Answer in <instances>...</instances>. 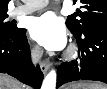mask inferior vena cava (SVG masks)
Instances as JSON below:
<instances>
[{
    "mask_svg": "<svg viewBox=\"0 0 107 89\" xmlns=\"http://www.w3.org/2000/svg\"><path fill=\"white\" fill-rule=\"evenodd\" d=\"M42 53H43L42 50L38 46L32 49L31 57H32V63L34 65H36L40 61Z\"/></svg>",
    "mask_w": 107,
    "mask_h": 89,
    "instance_id": "obj_1",
    "label": "inferior vena cava"
}]
</instances>
